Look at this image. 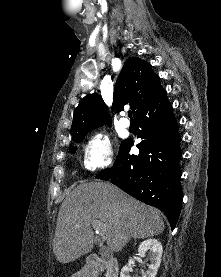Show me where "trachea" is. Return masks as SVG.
Instances as JSON below:
<instances>
[{"instance_id":"trachea-1","label":"trachea","mask_w":221,"mask_h":277,"mask_svg":"<svg viewBox=\"0 0 221 277\" xmlns=\"http://www.w3.org/2000/svg\"><path fill=\"white\" fill-rule=\"evenodd\" d=\"M129 118H132V111H128Z\"/></svg>"}]
</instances>
